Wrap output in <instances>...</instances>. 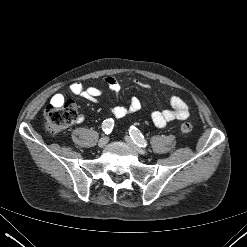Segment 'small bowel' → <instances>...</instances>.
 <instances>
[{
    "label": "small bowel",
    "mask_w": 247,
    "mask_h": 247,
    "mask_svg": "<svg viewBox=\"0 0 247 247\" xmlns=\"http://www.w3.org/2000/svg\"><path fill=\"white\" fill-rule=\"evenodd\" d=\"M137 86L142 89L148 90L150 89V85L142 82L140 80L134 81ZM105 84L108 86L110 90H112L115 94H118L120 91V85L118 81L113 77L105 78ZM70 91L77 96H80L88 101L97 103L99 97L102 94L100 88L95 86H84L81 82H74L70 85ZM63 101L62 94H56L52 98V103H61ZM170 108L164 110H154L151 113V119L153 124L158 128L165 127L169 122L174 120H186L189 117V107L186 102L180 97L173 96L170 101ZM141 101L137 97H132L129 104L118 105L109 108L111 114L117 118L121 119L126 116L132 115L138 112L141 109ZM78 120L81 121L82 117H78Z\"/></svg>",
    "instance_id": "small-bowel-1"
}]
</instances>
